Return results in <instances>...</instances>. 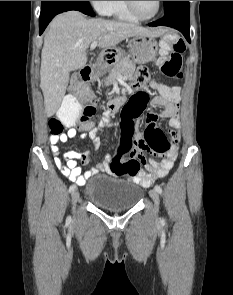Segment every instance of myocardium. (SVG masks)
<instances>
[{"mask_svg": "<svg viewBox=\"0 0 233 295\" xmlns=\"http://www.w3.org/2000/svg\"><path fill=\"white\" fill-rule=\"evenodd\" d=\"M126 3V6H127V9L129 10V12L135 17L137 18L138 20H141V21H148V20H152L154 19L160 12L161 10V1H157V9L156 11L154 12L153 15L149 16V17H144V16H141L136 8H135V4H134V1H125Z\"/></svg>", "mask_w": 233, "mask_h": 295, "instance_id": "f54148a6", "label": "myocardium"}]
</instances>
